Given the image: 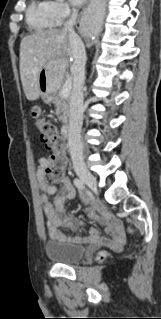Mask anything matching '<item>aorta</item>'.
<instances>
[{"label": "aorta", "mask_w": 161, "mask_h": 319, "mask_svg": "<svg viewBox=\"0 0 161 319\" xmlns=\"http://www.w3.org/2000/svg\"><path fill=\"white\" fill-rule=\"evenodd\" d=\"M90 15L86 16L87 19V26L89 31H91L92 33L96 32L97 28H98V24L97 22H93V20L89 19Z\"/></svg>", "instance_id": "obj_1"}]
</instances>
